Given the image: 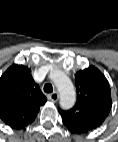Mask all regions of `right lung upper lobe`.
I'll return each instance as SVG.
<instances>
[{
  "instance_id": "right-lung-upper-lobe-1",
  "label": "right lung upper lobe",
  "mask_w": 118,
  "mask_h": 142,
  "mask_svg": "<svg viewBox=\"0 0 118 142\" xmlns=\"http://www.w3.org/2000/svg\"><path fill=\"white\" fill-rule=\"evenodd\" d=\"M47 98L31 77L30 69L14 64L0 78V119L15 129L25 128Z\"/></svg>"
}]
</instances>
